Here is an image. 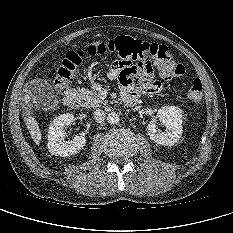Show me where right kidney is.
Wrapping results in <instances>:
<instances>
[{
  "mask_svg": "<svg viewBox=\"0 0 233 233\" xmlns=\"http://www.w3.org/2000/svg\"><path fill=\"white\" fill-rule=\"evenodd\" d=\"M74 121V115L65 113L53 120L48 130V149L53 155L68 157L78 153L86 144V138L75 136L71 141H65V126L71 125Z\"/></svg>",
  "mask_w": 233,
  "mask_h": 233,
  "instance_id": "right-kidney-1",
  "label": "right kidney"
}]
</instances>
